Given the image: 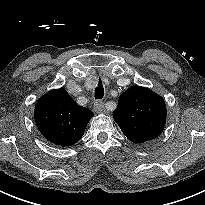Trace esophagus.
<instances>
[{
  "instance_id": "1",
  "label": "esophagus",
  "mask_w": 205,
  "mask_h": 205,
  "mask_svg": "<svg viewBox=\"0 0 205 205\" xmlns=\"http://www.w3.org/2000/svg\"><path fill=\"white\" fill-rule=\"evenodd\" d=\"M94 110L95 112L97 113H105V105H104V102L102 101H97L95 102L94 104Z\"/></svg>"
}]
</instances>
